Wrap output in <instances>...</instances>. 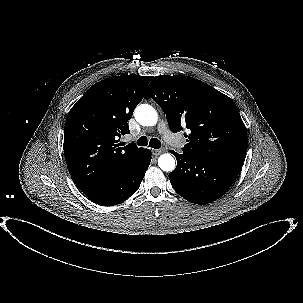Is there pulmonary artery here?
Listing matches in <instances>:
<instances>
[{
  "mask_svg": "<svg viewBox=\"0 0 303 303\" xmlns=\"http://www.w3.org/2000/svg\"><path fill=\"white\" fill-rule=\"evenodd\" d=\"M158 131L171 146L181 145L180 140L174 136L166 122H161L159 124Z\"/></svg>",
  "mask_w": 303,
  "mask_h": 303,
  "instance_id": "1",
  "label": "pulmonary artery"
}]
</instances>
